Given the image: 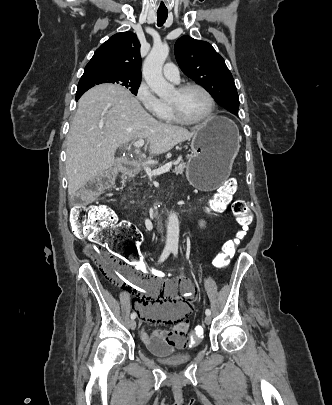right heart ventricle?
<instances>
[{
	"label": "right heart ventricle",
	"mask_w": 332,
	"mask_h": 405,
	"mask_svg": "<svg viewBox=\"0 0 332 405\" xmlns=\"http://www.w3.org/2000/svg\"><path fill=\"white\" fill-rule=\"evenodd\" d=\"M160 118L165 122H176V119L172 114L169 104H164V112Z\"/></svg>",
	"instance_id": "1"
}]
</instances>
